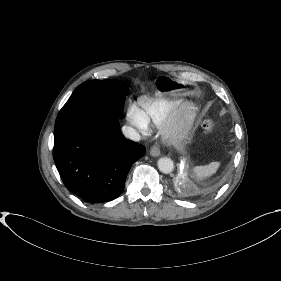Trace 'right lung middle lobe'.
Segmentation results:
<instances>
[{
  "label": "right lung middle lobe",
  "mask_w": 281,
  "mask_h": 281,
  "mask_svg": "<svg viewBox=\"0 0 281 281\" xmlns=\"http://www.w3.org/2000/svg\"><path fill=\"white\" fill-rule=\"evenodd\" d=\"M129 85L119 80H90L79 85L60 110L55 128L83 117H119Z\"/></svg>",
  "instance_id": "obj_1"
}]
</instances>
